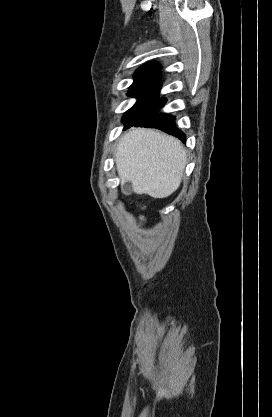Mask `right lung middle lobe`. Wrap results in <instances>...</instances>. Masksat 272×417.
I'll use <instances>...</instances> for the list:
<instances>
[{
    "label": "right lung middle lobe",
    "mask_w": 272,
    "mask_h": 417,
    "mask_svg": "<svg viewBox=\"0 0 272 417\" xmlns=\"http://www.w3.org/2000/svg\"><path fill=\"white\" fill-rule=\"evenodd\" d=\"M128 96L137 97V103L123 116L126 127L137 122L144 116L159 98V89L144 91H129Z\"/></svg>",
    "instance_id": "obj_1"
}]
</instances>
